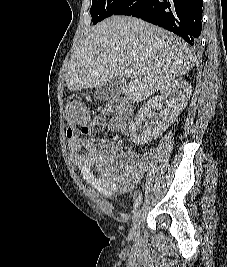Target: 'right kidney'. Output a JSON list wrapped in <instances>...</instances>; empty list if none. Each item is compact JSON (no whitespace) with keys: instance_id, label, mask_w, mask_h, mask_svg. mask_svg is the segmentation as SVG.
<instances>
[{"instance_id":"ca27d5eb","label":"right kidney","mask_w":227,"mask_h":267,"mask_svg":"<svg viewBox=\"0 0 227 267\" xmlns=\"http://www.w3.org/2000/svg\"><path fill=\"white\" fill-rule=\"evenodd\" d=\"M191 93V85L182 79L165 85L159 96L147 101L137 112L129 128L131 141L141 145L162 135L186 107ZM164 99H168L165 109L160 111L155 120H151V109ZM146 118L150 119L149 122H146Z\"/></svg>"}]
</instances>
